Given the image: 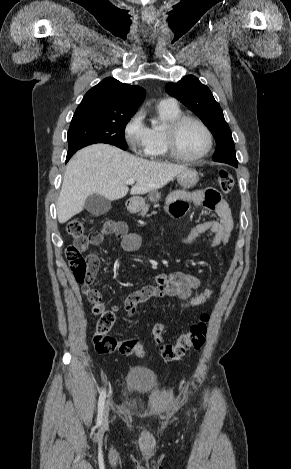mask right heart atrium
Here are the masks:
<instances>
[{
    "label": "right heart atrium",
    "instance_id": "d8ad5b80",
    "mask_svg": "<svg viewBox=\"0 0 291 469\" xmlns=\"http://www.w3.org/2000/svg\"><path fill=\"white\" fill-rule=\"evenodd\" d=\"M123 137L127 146L135 153L145 152L149 143V127L141 111L136 112L125 124Z\"/></svg>",
    "mask_w": 291,
    "mask_h": 469
}]
</instances>
